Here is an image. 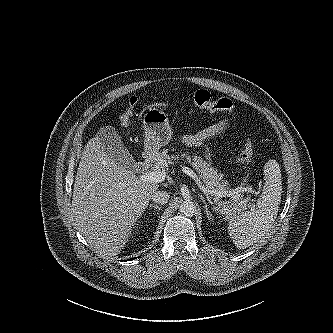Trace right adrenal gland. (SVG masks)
Listing matches in <instances>:
<instances>
[{"mask_svg": "<svg viewBox=\"0 0 333 333\" xmlns=\"http://www.w3.org/2000/svg\"><path fill=\"white\" fill-rule=\"evenodd\" d=\"M150 208H154V209H158V210H161V206L157 205V204H150L149 206Z\"/></svg>", "mask_w": 333, "mask_h": 333, "instance_id": "2a0ac1e0", "label": "right adrenal gland"}]
</instances>
